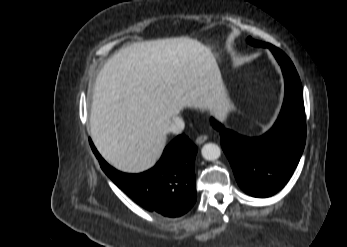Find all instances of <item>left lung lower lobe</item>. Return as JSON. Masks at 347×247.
Masks as SVG:
<instances>
[{"label": "left lung lower lobe", "mask_w": 347, "mask_h": 247, "mask_svg": "<svg viewBox=\"0 0 347 247\" xmlns=\"http://www.w3.org/2000/svg\"><path fill=\"white\" fill-rule=\"evenodd\" d=\"M281 66L285 97L281 112L264 135L241 136L211 118L220 132L221 145L239 186L253 197H269L282 189L292 176L306 141L303 89L298 73L280 49L269 48Z\"/></svg>", "instance_id": "obj_1"}]
</instances>
